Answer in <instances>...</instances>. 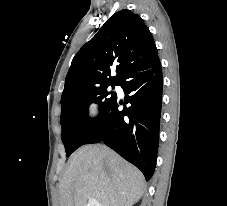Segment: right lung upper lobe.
Segmentation results:
<instances>
[{
    "mask_svg": "<svg viewBox=\"0 0 227 206\" xmlns=\"http://www.w3.org/2000/svg\"><path fill=\"white\" fill-rule=\"evenodd\" d=\"M155 57L157 48L142 18L127 9L116 12L73 58L61 100L93 88L119 84L130 70ZM111 71L116 75L112 77Z\"/></svg>",
    "mask_w": 227,
    "mask_h": 206,
    "instance_id": "obj_1",
    "label": "right lung upper lobe"
}]
</instances>
